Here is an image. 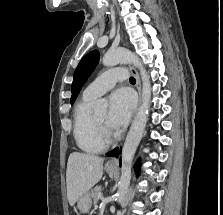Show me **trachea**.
I'll use <instances>...</instances> for the list:
<instances>
[{"label": "trachea", "instance_id": "1", "mask_svg": "<svg viewBox=\"0 0 223 215\" xmlns=\"http://www.w3.org/2000/svg\"><path fill=\"white\" fill-rule=\"evenodd\" d=\"M129 81H130V83H136V80L134 77H130Z\"/></svg>", "mask_w": 223, "mask_h": 215}]
</instances>
